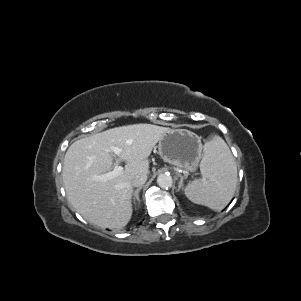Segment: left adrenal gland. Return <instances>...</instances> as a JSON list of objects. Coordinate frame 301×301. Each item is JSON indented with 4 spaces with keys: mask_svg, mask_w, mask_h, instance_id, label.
Here are the masks:
<instances>
[{
    "mask_svg": "<svg viewBox=\"0 0 301 301\" xmlns=\"http://www.w3.org/2000/svg\"><path fill=\"white\" fill-rule=\"evenodd\" d=\"M178 176L180 177V182H179V185H178V191H180V189L182 188V186H183V176L182 175H180V174H178Z\"/></svg>",
    "mask_w": 301,
    "mask_h": 301,
    "instance_id": "1",
    "label": "left adrenal gland"
}]
</instances>
